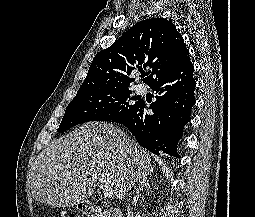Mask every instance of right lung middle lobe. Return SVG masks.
<instances>
[{"label": "right lung middle lobe", "mask_w": 255, "mask_h": 217, "mask_svg": "<svg viewBox=\"0 0 255 217\" xmlns=\"http://www.w3.org/2000/svg\"><path fill=\"white\" fill-rule=\"evenodd\" d=\"M129 87L79 93L69 103L58 128L59 132L89 121H112L130 113L140 101Z\"/></svg>", "instance_id": "dd1d6c3e"}]
</instances>
